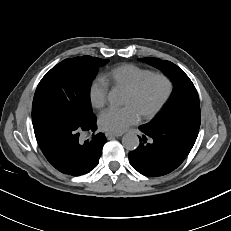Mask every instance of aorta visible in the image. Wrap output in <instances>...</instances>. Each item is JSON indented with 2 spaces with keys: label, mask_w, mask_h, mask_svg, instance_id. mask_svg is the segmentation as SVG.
Masks as SVG:
<instances>
[{
  "label": "aorta",
  "mask_w": 231,
  "mask_h": 231,
  "mask_svg": "<svg viewBox=\"0 0 231 231\" xmlns=\"http://www.w3.org/2000/svg\"><path fill=\"white\" fill-rule=\"evenodd\" d=\"M108 101L112 106H119L122 103L121 97L116 91L109 93ZM122 144L125 149L134 150L139 145V138L134 133H126L122 138Z\"/></svg>",
  "instance_id": "762f6f07"
}]
</instances>
